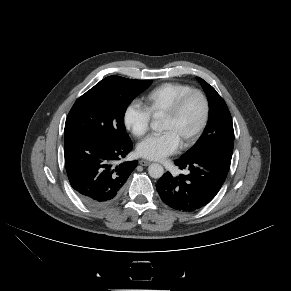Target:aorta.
<instances>
[{"mask_svg": "<svg viewBox=\"0 0 291 291\" xmlns=\"http://www.w3.org/2000/svg\"><path fill=\"white\" fill-rule=\"evenodd\" d=\"M150 126L155 131H160L162 129V124L159 120H152ZM148 173L152 178L158 179L163 176L164 169L162 165L153 163L148 167Z\"/></svg>", "mask_w": 291, "mask_h": 291, "instance_id": "762f6f07", "label": "aorta"}]
</instances>
